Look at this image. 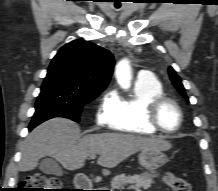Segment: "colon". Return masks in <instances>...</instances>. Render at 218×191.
<instances>
[{
  "mask_svg": "<svg viewBox=\"0 0 218 191\" xmlns=\"http://www.w3.org/2000/svg\"><path fill=\"white\" fill-rule=\"evenodd\" d=\"M164 180L173 191H193L189 181L172 172H166ZM20 191H65V189H63L62 182L56 177L34 174L22 181Z\"/></svg>",
  "mask_w": 218,
  "mask_h": 191,
  "instance_id": "5ec220e1",
  "label": "colon"
}]
</instances>
